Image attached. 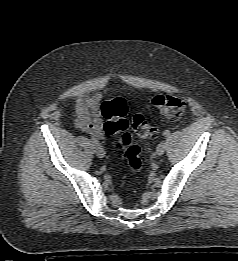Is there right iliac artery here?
I'll return each mask as SVG.
<instances>
[{"mask_svg": "<svg viewBox=\"0 0 238 261\" xmlns=\"http://www.w3.org/2000/svg\"><path fill=\"white\" fill-rule=\"evenodd\" d=\"M91 142L93 143V145H95V146H98V145H100L99 144V141L98 140H96L95 138H93V137H91Z\"/></svg>", "mask_w": 238, "mask_h": 261, "instance_id": "1", "label": "right iliac artery"}]
</instances>
